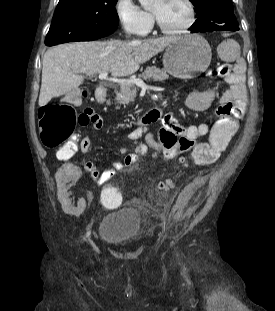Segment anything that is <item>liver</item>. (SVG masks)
Segmentation results:
<instances>
[{
  "label": "liver",
  "instance_id": "liver-1",
  "mask_svg": "<svg viewBox=\"0 0 275 311\" xmlns=\"http://www.w3.org/2000/svg\"><path fill=\"white\" fill-rule=\"evenodd\" d=\"M176 37L133 41H91L64 44L49 49L43 57L39 106L52 98L77 89L82 74L111 72L113 77L134 74L143 64L163 51Z\"/></svg>",
  "mask_w": 275,
  "mask_h": 311
}]
</instances>
